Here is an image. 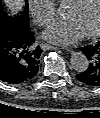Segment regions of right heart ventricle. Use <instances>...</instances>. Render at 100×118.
<instances>
[{
	"instance_id": "obj_1",
	"label": "right heart ventricle",
	"mask_w": 100,
	"mask_h": 118,
	"mask_svg": "<svg viewBox=\"0 0 100 118\" xmlns=\"http://www.w3.org/2000/svg\"><path fill=\"white\" fill-rule=\"evenodd\" d=\"M59 3H62V4H67L69 3L71 0H57Z\"/></svg>"
}]
</instances>
